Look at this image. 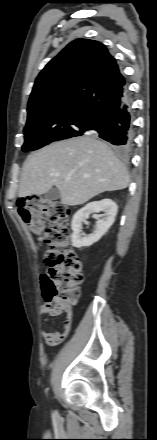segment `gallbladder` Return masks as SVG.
<instances>
[{
    "label": "gallbladder",
    "instance_id": "1",
    "mask_svg": "<svg viewBox=\"0 0 157 440\" xmlns=\"http://www.w3.org/2000/svg\"><path fill=\"white\" fill-rule=\"evenodd\" d=\"M44 198L47 200H58L60 198V192L57 188H52L44 194Z\"/></svg>",
    "mask_w": 157,
    "mask_h": 440
}]
</instances>
